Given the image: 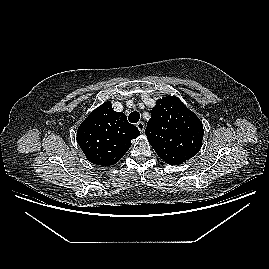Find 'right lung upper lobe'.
I'll return each instance as SVG.
<instances>
[{
	"label": "right lung upper lobe",
	"instance_id": "1",
	"mask_svg": "<svg viewBox=\"0 0 269 269\" xmlns=\"http://www.w3.org/2000/svg\"><path fill=\"white\" fill-rule=\"evenodd\" d=\"M136 126L126 115L105 102L81 123L77 142L86 158L93 164L109 166L117 163L128 151L131 140L139 136Z\"/></svg>",
	"mask_w": 269,
	"mask_h": 269
}]
</instances>
